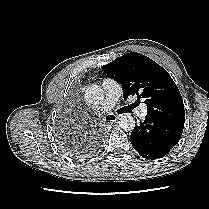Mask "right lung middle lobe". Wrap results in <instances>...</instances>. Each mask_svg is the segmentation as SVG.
I'll return each instance as SVG.
<instances>
[{
  "mask_svg": "<svg viewBox=\"0 0 209 209\" xmlns=\"http://www.w3.org/2000/svg\"><path fill=\"white\" fill-rule=\"evenodd\" d=\"M68 149H69V152H71V154H75V153H77V152H75L72 148H70V147H68Z\"/></svg>",
  "mask_w": 209,
  "mask_h": 209,
  "instance_id": "1",
  "label": "right lung middle lobe"
}]
</instances>
